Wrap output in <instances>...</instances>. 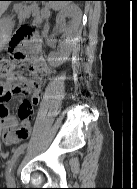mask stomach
<instances>
[{"mask_svg": "<svg viewBox=\"0 0 137 189\" xmlns=\"http://www.w3.org/2000/svg\"><path fill=\"white\" fill-rule=\"evenodd\" d=\"M43 3V2H42ZM13 22L10 18L4 17L0 19V41H4L3 37H8L11 33Z\"/></svg>", "mask_w": 137, "mask_h": 189, "instance_id": "stomach-1", "label": "stomach"}]
</instances>
